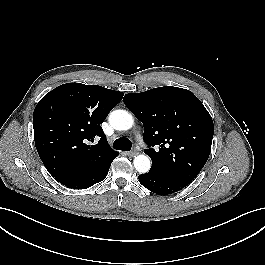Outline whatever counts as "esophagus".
<instances>
[{
  "instance_id": "obj_1",
  "label": "esophagus",
  "mask_w": 265,
  "mask_h": 265,
  "mask_svg": "<svg viewBox=\"0 0 265 265\" xmlns=\"http://www.w3.org/2000/svg\"><path fill=\"white\" fill-rule=\"evenodd\" d=\"M137 150L134 148V149H132L131 151H129L128 153H127V155L128 156H130V157H134V156H136L137 155Z\"/></svg>"
}]
</instances>
